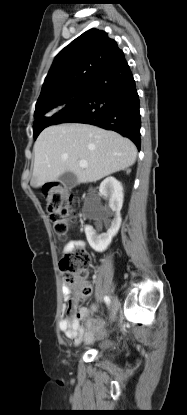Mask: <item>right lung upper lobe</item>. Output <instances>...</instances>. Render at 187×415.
Here are the masks:
<instances>
[{
	"mask_svg": "<svg viewBox=\"0 0 187 415\" xmlns=\"http://www.w3.org/2000/svg\"><path fill=\"white\" fill-rule=\"evenodd\" d=\"M122 53L116 41L104 31L90 29L84 32L56 56L36 109L59 101L67 90L91 80Z\"/></svg>",
	"mask_w": 187,
	"mask_h": 415,
	"instance_id": "1",
	"label": "right lung upper lobe"
}]
</instances>
